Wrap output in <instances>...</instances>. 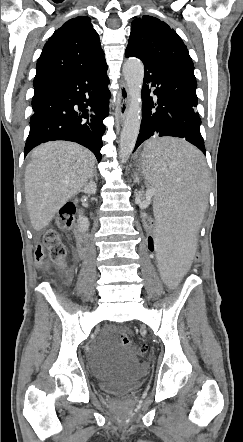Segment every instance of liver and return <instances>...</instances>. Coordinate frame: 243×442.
Returning <instances> with one entry per match:
<instances>
[{
	"label": "liver",
	"mask_w": 243,
	"mask_h": 442,
	"mask_svg": "<svg viewBox=\"0 0 243 442\" xmlns=\"http://www.w3.org/2000/svg\"><path fill=\"white\" fill-rule=\"evenodd\" d=\"M31 156L25 171V199L31 225L40 231L91 179L96 159L90 150L67 141L42 144Z\"/></svg>",
	"instance_id": "liver-1"
}]
</instances>
